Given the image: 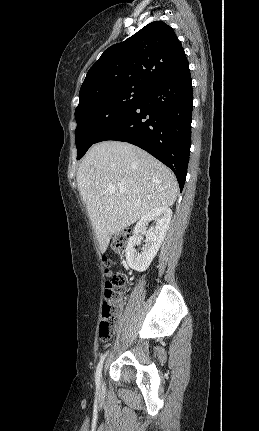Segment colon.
Wrapping results in <instances>:
<instances>
[{
	"label": "colon",
	"instance_id": "colon-1",
	"mask_svg": "<svg viewBox=\"0 0 259 431\" xmlns=\"http://www.w3.org/2000/svg\"><path fill=\"white\" fill-rule=\"evenodd\" d=\"M129 237L130 234L128 231H122L112 238V249L115 254L124 255ZM103 263L109 279L105 283V301L101 311L99 337L102 340H108L119 321L120 302L125 294L126 279L121 272L112 274V261L108 257H103Z\"/></svg>",
	"mask_w": 259,
	"mask_h": 431
}]
</instances>
